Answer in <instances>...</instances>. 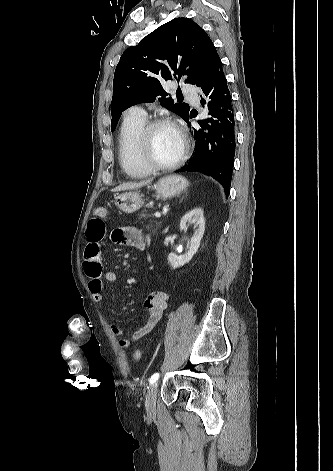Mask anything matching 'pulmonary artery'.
<instances>
[{"label":"pulmonary artery","instance_id":"e3ab8cb5","mask_svg":"<svg viewBox=\"0 0 333 471\" xmlns=\"http://www.w3.org/2000/svg\"><path fill=\"white\" fill-rule=\"evenodd\" d=\"M182 90L192 102L197 103L198 97L193 87H191L190 85H183ZM127 113L128 115L146 117L145 111L139 106L131 107Z\"/></svg>","mask_w":333,"mask_h":471}]
</instances>
